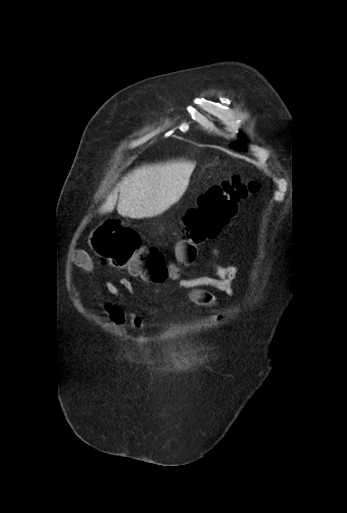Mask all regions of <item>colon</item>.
I'll list each match as a JSON object with an SVG mask.
<instances>
[{"label": "colon", "mask_w": 347, "mask_h": 513, "mask_svg": "<svg viewBox=\"0 0 347 513\" xmlns=\"http://www.w3.org/2000/svg\"><path fill=\"white\" fill-rule=\"evenodd\" d=\"M258 188L256 182L235 175L201 193L180 223V260L193 261L197 248L217 238L235 216L238 203ZM92 247L106 263L130 269L154 283L166 281L177 269L167 265L157 248L142 249L136 231L117 220H106L94 231Z\"/></svg>", "instance_id": "1"}]
</instances>
